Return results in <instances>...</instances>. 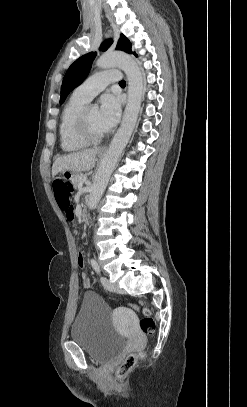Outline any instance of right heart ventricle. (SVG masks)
I'll return each instance as SVG.
<instances>
[{
  "label": "right heart ventricle",
  "instance_id": "right-heart-ventricle-1",
  "mask_svg": "<svg viewBox=\"0 0 247 407\" xmlns=\"http://www.w3.org/2000/svg\"><path fill=\"white\" fill-rule=\"evenodd\" d=\"M86 101L71 97L63 107L59 123V140L64 152H77L89 145L78 133L76 122Z\"/></svg>",
  "mask_w": 247,
  "mask_h": 407
}]
</instances>
